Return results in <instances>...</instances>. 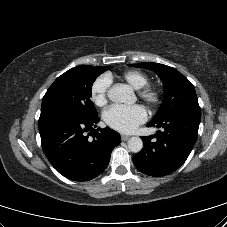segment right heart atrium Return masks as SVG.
<instances>
[{"instance_id":"d8ad5b80","label":"right heart atrium","mask_w":227,"mask_h":227,"mask_svg":"<svg viewBox=\"0 0 227 227\" xmlns=\"http://www.w3.org/2000/svg\"><path fill=\"white\" fill-rule=\"evenodd\" d=\"M110 83V78L107 75H102L93 82L90 97L96 106L101 107L106 104Z\"/></svg>"}]
</instances>
